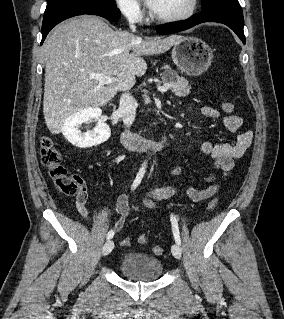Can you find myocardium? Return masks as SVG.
I'll return each instance as SVG.
<instances>
[{
    "mask_svg": "<svg viewBox=\"0 0 284 319\" xmlns=\"http://www.w3.org/2000/svg\"><path fill=\"white\" fill-rule=\"evenodd\" d=\"M198 4H199V0H191L188 9L185 12L178 15H173V16H161L155 13L154 10H152L151 17L155 21L161 22V23H176V22L185 21L191 18L195 14L198 8Z\"/></svg>",
    "mask_w": 284,
    "mask_h": 319,
    "instance_id": "myocardium-1",
    "label": "myocardium"
}]
</instances>
